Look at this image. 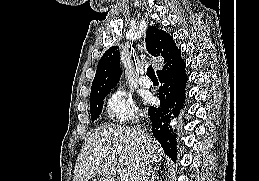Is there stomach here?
I'll return each mask as SVG.
<instances>
[{
    "label": "stomach",
    "mask_w": 259,
    "mask_h": 181,
    "mask_svg": "<svg viewBox=\"0 0 259 181\" xmlns=\"http://www.w3.org/2000/svg\"><path fill=\"white\" fill-rule=\"evenodd\" d=\"M100 181H106L105 179H102V180H100Z\"/></svg>",
    "instance_id": "1"
}]
</instances>
